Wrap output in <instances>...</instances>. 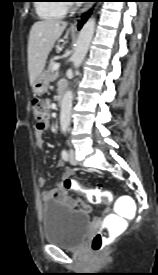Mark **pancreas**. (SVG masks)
Listing matches in <instances>:
<instances>
[{"mask_svg": "<svg viewBox=\"0 0 158 275\" xmlns=\"http://www.w3.org/2000/svg\"><path fill=\"white\" fill-rule=\"evenodd\" d=\"M56 64L55 59H51L48 65L47 75L49 81H53L59 77V70H53V66Z\"/></svg>", "mask_w": 158, "mask_h": 275, "instance_id": "obj_1", "label": "pancreas"}]
</instances>
